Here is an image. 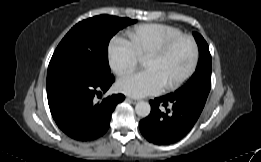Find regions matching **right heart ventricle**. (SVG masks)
I'll return each mask as SVG.
<instances>
[{
  "label": "right heart ventricle",
  "instance_id": "right-heart-ventricle-1",
  "mask_svg": "<svg viewBox=\"0 0 261 162\" xmlns=\"http://www.w3.org/2000/svg\"><path fill=\"white\" fill-rule=\"evenodd\" d=\"M181 34L182 32L173 26L156 23L138 25L127 31L128 42L140 59L145 58L165 41Z\"/></svg>",
  "mask_w": 261,
  "mask_h": 162
}]
</instances>
